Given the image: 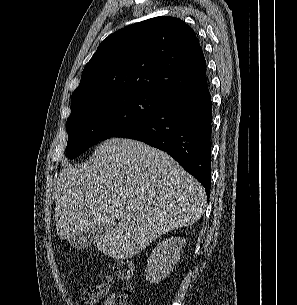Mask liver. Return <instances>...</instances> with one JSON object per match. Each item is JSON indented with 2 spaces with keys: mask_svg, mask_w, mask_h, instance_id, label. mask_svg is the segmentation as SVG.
Returning <instances> with one entry per match:
<instances>
[{
  "mask_svg": "<svg viewBox=\"0 0 297 305\" xmlns=\"http://www.w3.org/2000/svg\"><path fill=\"white\" fill-rule=\"evenodd\" d=\"M55 185L60 239L103 223L106 232L96 247L116 260L133 257L168 231L194 224L206 205L202 185L171 156L131 139L104 141L93 153L92 165L64 168Z\"/></svg>",
  "mask_w": 297,
  "mask_h": 305,
  "instance_id": "6515ba94",
  "label": "liver"
}]
</instances>
